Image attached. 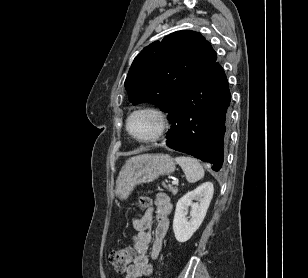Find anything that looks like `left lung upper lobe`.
Returning a JSON list of instances; mask_svg holds the SVG:
<instances>
[{"label":"left lung upper lobe","mask_w":308,"mask_h":278,"mask_svg":"<svg viewBox=\"0 0 308 278\" xmlns=\"http://www.w3.org/2000/svg\"><path fill=\"white\" fill-rule=\"evenodd\" d=\"M217 54L198 32L177 31L145 47L134 59L125 88L133 105L152 102L167 112L185 88L216 63Z\"/></svg>","instance_id":"1"}]
</instances>
